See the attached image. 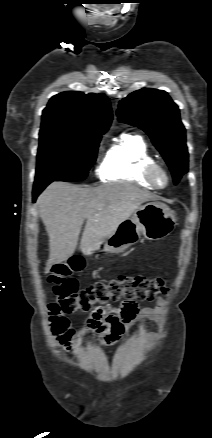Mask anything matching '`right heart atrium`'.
Listing matches in <instances>:
<instances>
[{
    "label": "right heart atrium",
    "mask_w": 212,
    "mask_h": 438,
    "mask_svg": "<svg viewBox=\"0 0 212 438\" xmlns=\"http://www.w3.org/2000/svg\"><path fill=\"white\" fill-rule=\"evenodd\" d=\"M97 174L102 177L103 176V163H101L97 169H96Z\"/></svg>",
    "instance_id": "1"
}]
</instances>
